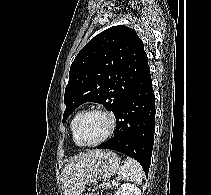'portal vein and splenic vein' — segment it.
Segmentation results:
<instances>
[{"mask_svg":"<svg viewBox=\"0 0 211 195\" xmlns=\"http://www.w3.org/2000/svg\"><path fill=\"white\" fill-rule=\"evenodd\" d=\"M117 180H119V179H117ZM112 185H113V186L116 185V180H113V181H112Z\"/></svg>","mask_w":211,"mask_h":195,"instance_id":"1","label":"portal vein and splenic vein"}]
</instances>
